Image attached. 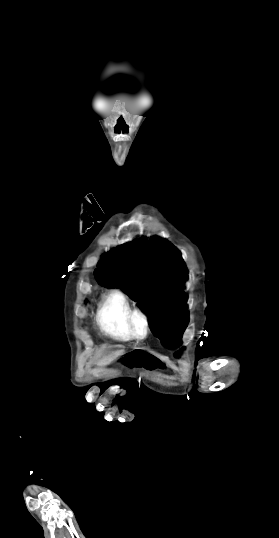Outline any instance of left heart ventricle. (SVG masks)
Wrapping results in <instances>:
<instances>
[{"mask_svg":"<svg viewBox=\"0 0 279 538\" xmlns=\"http://www.w3.org/2000/svg\"><path fill=\"white\" fill-rule=\"evenodd\" d=\"M135 325H136L137 332L142 333V322H141V320L137 319Z\"/></svg>","mask_w":279,"mask_h":538,"instance_id":"b2bd125f","label":"left heart ventricle"}]
</instances>
